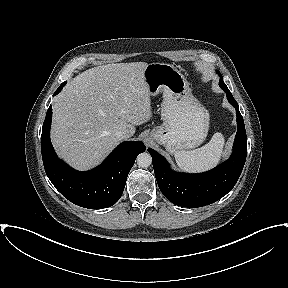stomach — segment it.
<instances>
[{"label": "stomach", "instance_id": "0dacf381", "mask_svg": "<svg viewBox=\"0 0 288 288\" xmlns=\"http://www.w3.org/2000/svg\"><path fill=\"white\" fill-rule=\"evenodd\" d=\"M150 96L163 93L161 118L150 136L169 153L201 145L209 130L208 110L192 95L189 83L173 65L151 63L143 71Z\"/></svg>", "mask_w": 288, "mask_h": 288}]
</instances>
